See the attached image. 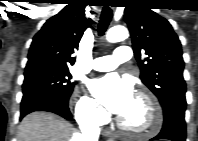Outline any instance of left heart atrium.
<instances>
[{"mask_svg": "<svg viewBox=\"0 0 198 141\" xmlns=\"http://www.w3.org/2000/svg\"><path fill=\"white\" fill-rule=\"evenodd\" d=\"M90 90L109 112L119 116L130 108L135 99L131 82L116 74H108L93 80Z\"/></svg>", "mask_w": 198, "mask_h": 141, "instance_id": "1", "label": "left heart atrium"}]
</instances>
